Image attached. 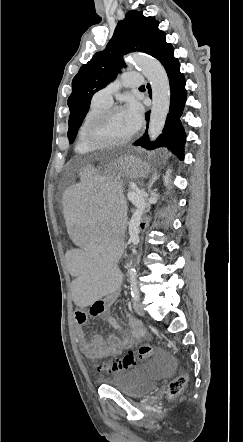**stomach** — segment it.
Wrapping results in <instances>:
<instances>
[{
  "label": "stomach",
  "instance_id": "1",
  "mask_svg": "<svg viewBox=\"0 0 243 442\" xmlns=\"http://www.w3.org/2000/svg\"><path fill=\"white\" fill-rule=\"evenodd\" d=\"M110 167H117V172H110L109 174L105 175H128L130 178H135L134 171L137 167H144V163L136 156L133 155H125L123 157H120L116 161L108 164ZM120 167H126V172H120Z\"/></svg>",
  "mask_w": 243,
  "mask_h": 442
}]
</instances>
